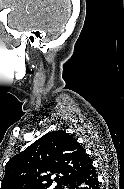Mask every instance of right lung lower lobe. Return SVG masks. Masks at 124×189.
<instances>
[{
  "mask_svg": "<svg viewBox=\"0 0 124 189\" xmlns=\"http://www.w3.org/2000/svg\"><path fill=\"white\" fill-rule=\"evenodd\" d=\"M65 184L69 189H100L97 174L92 163L81 173L66 181Z\"/></svg>",
  "mask_w": 124,
  "mask_h": 189,
  "instance_id": "obj_1",
  "label": "right lung lower lobe"
}]
</instances>
